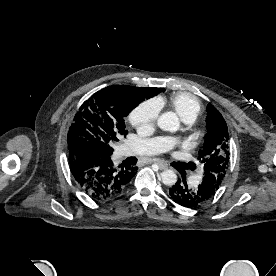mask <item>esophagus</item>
<instances>
[{
  "instance_id": "34e87169",
  "label": "esophagus",
  "mask_w": 276,
  "mask_h": 276,
  "mask_svg": "<svg viewBox=\"0 0 276 276\" xmlns=\"http://www.w3.org/2000/svg\"><path fill=\"white\" fill-rule=\"evenodd\" d=\"M151 163L157 164L161 170H166V169H168V165H167L164 161H162V160H159V159H152V160H151Z\"/></svg>"
}]
</instances>
